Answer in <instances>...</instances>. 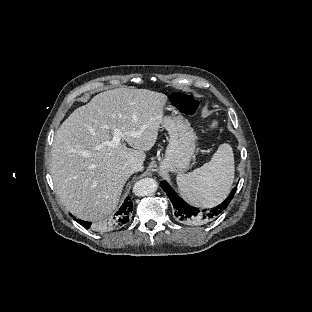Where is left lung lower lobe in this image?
<instances>
[{
    "instance_id": "1",
    "label": "left lung lower lobe",
    "mask_w": 312,
    "mask_h": 312,
    "mask_svg": "<svg viewBox=\"0 0 312 312\" xmlns=\"http://www.w3.org/2000/svg\"><path fill=\"white\" fill-rule=\"evenodd\" d=\"M163 190L167 193V196L170 198L173 207L175 208V217L178 221L183 223H188L191 225H201L206 222L215 219L223 210H225L234 197L236 188L232 190L228 198L216 208H213L210 211L202 210L200 211L196 207H193L187 204L183 199H181L168 185L166 181L160 183Z\"/></svg>"
}]
</instances>
